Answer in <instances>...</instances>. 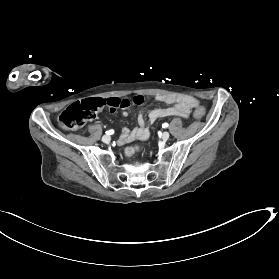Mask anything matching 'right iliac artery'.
I'll list each match as a JSON object with an SVG mask.
<instances>
[{
	"mask_svg": "<svg viewBox=\"0 0 279 279\" xmlns=\"http://www.w3.org/2000/svg\"><path fill=\"white\" fill-rule=\"evenodd\" d=\"M113 133H114V130H109V131L106 132V134H108V135H111Z\"/></svg>",
	"mask_w": 279,
	"mask_h": 279,
	"instance_id": "82829eb1",
	"label": "right iliac artery"
}]
</instances>
